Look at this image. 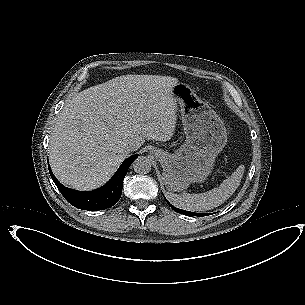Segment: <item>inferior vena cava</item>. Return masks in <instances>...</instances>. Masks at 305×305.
I'll return each instance as SVG.
<instances>
[{"mask_svg":"<svg viewBox=\"0 0 305 305\" xmlns=\"http://www.w3.org/2000/svg\"><path fill=\"white\" fill-rule=\"evenodd\" d=\"M124 149L127 152H132V151H136L138 149V147L135 144L129 143L124 146Z\"/></svg>","mask_w":305,"mask_h":305,"instance_id":"1","label":"inferior vena cava"}]
</instances>
